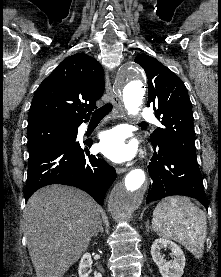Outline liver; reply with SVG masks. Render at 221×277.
I'll list each match as a JSON object with an SVG mask.
<instances>
[{
  "instance_id": "1",
  "label": "liver",
  "mask_w": 221,
  "mask_h": 277,
  "mask_svg": "<svg viewBox=\"0 0 221 277\" xmlns=\"http://www.w3.org/2000/svg\"><path fill=\"white\" fill-rule=\"evenodd\" d=\"M23 218L37 277H63L86 251L101 222L100 207L93 198L61 185L36 191Z\"/></svg>"
}]
</instances>
